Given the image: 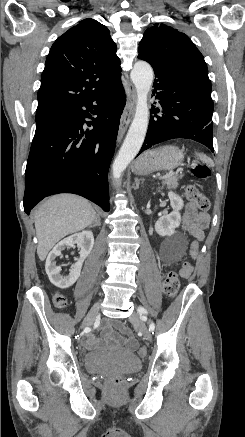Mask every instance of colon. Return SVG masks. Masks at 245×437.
I'll use <instances>...</instances> for the list:
<instances>
[{
  "instance_id": "5ec220e1",
  "label": "colon",
  "mask_w": 245,
  "mask_h": 437,
  "mask_svg": "<svg viewBox=\"0 0 245 437\" xmlns=\"http://www.w3.org/2000/svg\"><path fill=\"white\" fill-rule=\"evenodd\" d=\"M191 172L192 174L198 178L205 180L210 176V168L201 161L193 160L191 163ZM185 193L187 198L193 202L196 207L201 211H207L210 208L209 199L201 194L194 184H190L186 187ZM189 265L187 263L184 264L183 268L188 269ZM180 281L178 274L175 271H170L164 278L163 281V291L168 298H174L179 290ZM53 301L56 307L64 308L67 304L66 297L62 294H55L53 297ZM137 352L140 356H145L147 353V349L144 346H141L137 349ZM113 384H118L120 382L119 377H114L111 379Z\"/></svg>"
}]
</instances>
